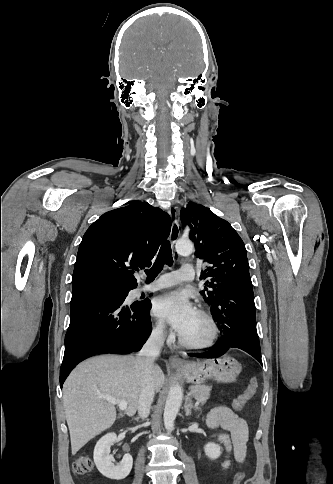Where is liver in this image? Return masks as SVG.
Listing matches in <instances>:
<instances>
[{
  "label": "liver",
  "mask_w": 333,
  "mask_h": 484,
  "mask_svg": "<svg viewBox=\"0 0 333 484\" xmlns=\"http://www.w3.org/2000/svg\"><path fill=\"white\" fill-rule=\"evenodd\" d=\"M151 376L154 390L159 391L165 376L158 365H154ZM140 390L141 369L134 356H98L79 364L63 385L72 454L110 428L117 417L133 416ZM102 396L125 400L127 408L117 415L114 404Z\"/></svg>",
  "instance_id": "1"
}]
</instances>
